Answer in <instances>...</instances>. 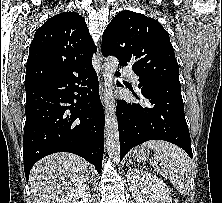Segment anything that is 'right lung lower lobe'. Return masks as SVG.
Segmentation results:
<instances>
[{"label":"right lung lower lobe","instance_id":"98d812e1","mask_svg":"<svg viewBox=\"0 0 222 203\" xmlns=\"http://www.w3.org/2000/svg\"><path fill=\"white\" fill-rule=\"evenodd\" d=\"M25 89L26 180L38 160L56 152L79 155L95 165L100 173L105 119L94 68L54 77Z\"/></svg>","mask_w":222,"mask_h":203}]
</instances>
